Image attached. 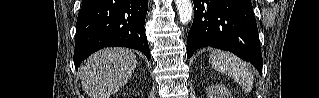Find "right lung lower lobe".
<instances>
[{
  "label": "right lung lower lobe",
  "mask_w": 319,
  "mask_h": 98,
  "mask_svg": "<svg viewBox=\"0 0 319 98\" xmlns=\"http://www.w3.org/2000/svg\"><path fill=\"white\" fill-rule=\"evenodd\" d=\"M147 0H83L76 26L74 64L104 47L140 50L150 60L144 24Z\"/></svg>",
  "instance_id": "right-lung-lower-lobe-1"
}]
</instances>
